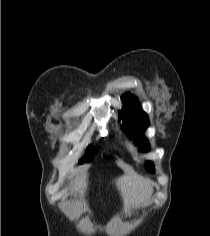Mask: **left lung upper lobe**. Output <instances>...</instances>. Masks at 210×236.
Listing matches in <instances>:
<instances>
[{
    "mask_svg": "<svg viewBox=\"0 0 210 236\" xmlns=\"http://www.w3.org/2000/svg\"><path fill=\"white\" fill-rule=\"evenodd\" d=\"M122 100L125 106L119 112L120 119L123 120L121 128L130 139L135 141L140 150L148 151L149 143L144 136V132L149 126L148 115L139 106L138 99L129 93L123 95ZM147 168L153 171V163L148 162Z\"/></svg>",
    "mask_w": 210,
    "mask_h": 236,
    "instance_id": "left-lung-upper-lobe-1",
    "label": "left lung upper lobe"
}]
</instances>
